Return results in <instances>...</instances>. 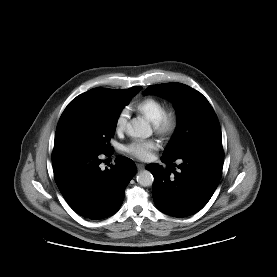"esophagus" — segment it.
Returning <instances> with one entry per match:
<instances>
[{"label": "esophagus", "mask_w": 277, "mask_h": 277, "mask_svg": "<svg viewBox=\"0 0 277 277\" xmlns=\"http://www.w3.org/2000/svg\"><path fill=\"white\" fill-rule=\"evenodd\" d=\"M137 168H138L139 170H143V169L145 168V165H144V164H141V163H138V164H137Z\"/></svg>", "instance_id": "esophagus-1"}]
</instances>
